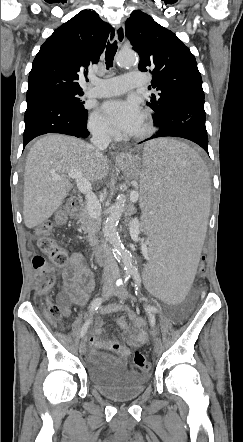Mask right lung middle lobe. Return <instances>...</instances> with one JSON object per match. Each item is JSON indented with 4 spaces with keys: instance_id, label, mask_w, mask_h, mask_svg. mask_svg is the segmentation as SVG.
<instances>
[{
    "instance_id": "dd1d6c3e",
    "label": "right lung middle lobe",
    "mask_w": 243,
    "mask_h": 442,
    "mask_svg": "<svg viewBox=\"0 0 243 442\" xmlns=\"http://www.w3.org/2000/svg\"><path fill=\"white\" fill-rule=\"evenodd\" d=\"M52 92H56L67 98L75 107L78 114L83 117H87V110L84 108L82 102L79 98L83 94L82 91H64V90H52Z\"/></svg>"
}]
</instances>
